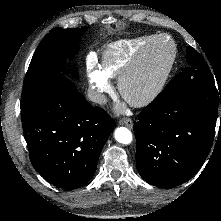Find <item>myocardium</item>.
Returning a JSON list of instances; mask_svg holds the SVG:
<instances>
[{
    "instance_id": "myocardium-1",
    "label": "myocardium",
    "mask_w": 221,
    "mask_h": 221,
    "mask_svg": "<svg viewBox=\"0 0 221 221\" xmlns=\"http://www.w3.org/2000/svg\"><path fill=\"white\" fill-rule=\"evenodd\" d=\"M161 41L168 42L170 47V53L163 69L148 90L138 96L131 95L130 87L143 74L155 46ZM176 56L177 47L174 40L170 36L166 34L155 36L144 48L138 61L120 77L118 87L122 97L135 107L147 106L151 102H153L164 89L167 80L172 72Z\"/></svg>"
}]
</instances>
